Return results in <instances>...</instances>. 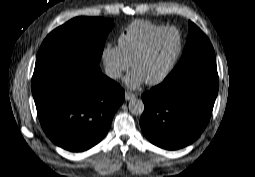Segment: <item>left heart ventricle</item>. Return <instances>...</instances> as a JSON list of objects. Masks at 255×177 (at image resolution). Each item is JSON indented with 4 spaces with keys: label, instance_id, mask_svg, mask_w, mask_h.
Masks as SVG:
<instances>
[{
    "label": "left heart ventricle",
    "instance_id": "b2bd125f",
    "mask_svg": "<svg viewBox=\"0 0 255 177\" xmlns=\"http://www.w3.org/2000/svg\"><path fill=\"white\" fill-rule=\"evenodd\" d=\"M179 47L178 35L174 31H168L160 35L148 53L136 62V70L145 81L158 77L166 68Z\"/></svg>",
    "mask_w": 255,
    "mask_h": 177
}]
</instances>
